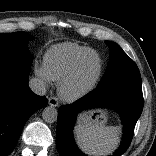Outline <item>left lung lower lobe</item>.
I'll return each instance as SVG.
<instances>
[{"mask_svg":"<svg viewBox=\"0 0 156 156\" xmlns=\"http://www.w3.org/2000/svg\"><path fill=\"white\" fill-rule=\"evenodd\" d=\"M105 106L118 110L124 125L121 146L112 156H120L126 151L143 109L142 86L113 83L97 87L73 104L63 105L58 109L56 145L60 156H86L77 148L73 139L76 115L82 110Z\"/></svg>","mask_w":156,"mask_h":156,"instance_id":"left-lung-lower-lobe-1","label":"left lung lower lobe"}]
</instances>
